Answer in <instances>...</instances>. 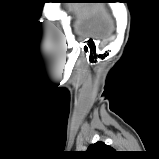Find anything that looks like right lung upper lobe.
<instances>
[{
  "label": "right lung upper lobe",
  "instance_id": "right-lung-upper-lobe-1",
  "mask_svg": "<svg viewBox=\"0 0 159 159\" xmlns=\"http://www.w3.org/2000/svg\"><path fill=\"white\" fill-rule=\"evenodd\" d=\"M110 152H114V149L103 142L91 144L87 149V153L95 157L94 159H105V156Z\"/></svg>",
  "mask_w": 159,
  "mask_h": 159
}]
</instances>
